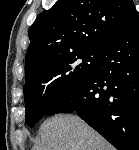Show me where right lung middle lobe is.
Here are the masks:
<instances>
[{
  "label": "right lung middle lobe",
  "instance_id": "right-lung-middle-lobe-1",
  "mask_svg": "<svg viewBox=\"0 0 139 150\" xmlns=\"http://www.w3.org/2000/svg\"><path fill=\"white\" fill-rule=\"evenodd\" d=\"M100 51H80L55 57L25 78V120L33 127L93 72Z\"/></svg>",
  "mask_w": 139,
  "mask_h": 150
}]
</instances>
